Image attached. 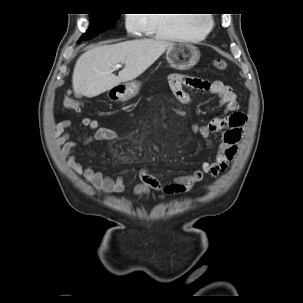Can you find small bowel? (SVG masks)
I'll list each match as a JSON object with an SVG mask.
<instances>
[{"instance_id": "1", "label": "small bowel", "mask_w": 303, "mask_h": 303, "mask_svg": "<svg viewBox=\"0 0 303 303\" xmlns=\"http://www.w3.org/2000/svg\"><path fill=\"white\" fill-rule=\"evenodd\" d=\"M170 89L175 98L184 105L191 104L193 98L185 91L184 87L195 90H205L217 97L218 102L223 105L224 113H230L229 117L224 115L215 116L204 124H195L192 131L200 134L207 145L211 144L212 133L224 131L221 141L218 144L216 156L211 161H204L201 167L192 173L176 176L172 182L163 184L157 177L145 170L139 172L141 182L136 185V195H146L151 191H159L165 195H179L188 192L195 183L202 180L205 174L217 177L222 174L234 159L238 144L242 137V127L245 118L239 112L237 95L232 87L221 81L208 82L191 75L172 73L168 77ZM73 125L71 120L59 122L53 131L55 146L60 150L62 157L67 161L68 166L76 174L82 176L97 191L104 193L120 194L125 189L124 179L121 176L112 178L101 172L95 171L91 166H84L76 157L75 151L78 144L70 140V133L66 130ZM79 125L94 131L93 140L118 141V133L107 128L95 119L83 118Z\"/></svg>"}]
</instances>
